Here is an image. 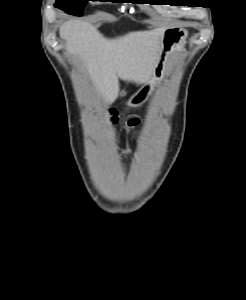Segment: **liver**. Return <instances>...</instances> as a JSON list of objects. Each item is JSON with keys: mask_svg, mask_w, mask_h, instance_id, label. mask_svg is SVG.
I'll return each mask as SVG.
<instances>
[{"mask_svg": "<svg viewBox=\"0 0 246 300\" xmlns=\"http://www.w3.org/2000/svg\"><path fill=\"white\" fill-rule=\"evenodd\" d=\"M165 29L130 32L115 39L105 38L92 24L65 21L59 30L66 51L78 57L98 94L113 103L119 81L148 83L159 60Z\"/></svg>", "mask_w": 246, "mask_h": 300, "instance_id": "1", "label": "liver"}]
</instances>
